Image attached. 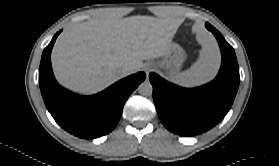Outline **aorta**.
Here are the masks:
<instances>
[{
	"instance_id": "1",
	"label": "aorta",
	"mask_w": 279,
	"mask_h": 166,
	"mask_svg": "<svg viewBox=\"0 0 279 166\" xmlns=\"http://www.w3.org/2000/svg\"><path fill=\"white\" fill-rule=\"evenodd\" d=\"M138 92L143 96H149L153 92V86L150 81L145 80L138 87Z\"/></svg>"
}]
</instances>
